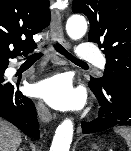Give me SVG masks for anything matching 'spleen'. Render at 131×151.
I'll return each mask as SVG.
<instances>
[{"instance_id": "3e777b00", "label": "spleen", "mask_w": 131, "mask_h": 151, "mask_svg": "<svg viewBox=\"0 0 131 151\" xmlns=\"http://www.w3.org/2000/svg\"><path fill=\"white\" fill-rule=\"evenodd\" d=\"M114 131L124 138L129 147V151H131V129L126 127H116Z\"/></svg>"}]
</instances>
